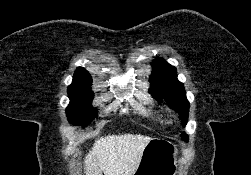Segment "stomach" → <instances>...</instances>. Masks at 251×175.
<instances>
[{"label":"stomach","mask_w":251,"mask_h":175,"mask_svg":"<svg viewBox=\"0 0 251 175\" xmlns=\"http://www.w3.org/2000/svg\"><path fill=\"white\" fill-rule=\"evenodd\" d=\"M178 147L164 137H152L133 175H177Z\"/></svg>","instance_id":"obj_1"}]
</instances>
